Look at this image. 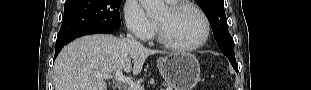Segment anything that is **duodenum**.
Wrapping results in <instances>:
<instances>
[{"instance_id": "410a0bca", "label": "duodenum", "mask_w": 311, "mask_h": 90, "mask_svg": "<svg viewBox=\"0 0 311 90\" xmlns=\"http://www.w3.org/2000/svg\"><path fill=\"white\" fill-rule=\"evenodd\" d=\"M118 90H126L124 87H117Z\"/></svg>"}]
</instances>
